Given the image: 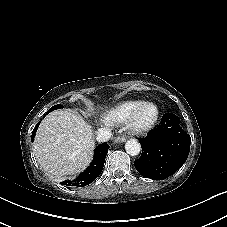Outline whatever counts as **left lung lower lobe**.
I'll return each mask as SVG.
<instances>
[{
  "label": "left lung lower lobe",
  "mask_w": 227,
  "mask_h": 227,
  "mask_svg": "<svg viewBox=\"0 0 227 227\" xmlns=\"http://www.w3.org/2000/svg\"><path fill=\"white\" fill-rule=\"evenodd\" d=\"M140 143L142 155L134 162L135 168L146 178L163 180L185 163L191 138L180 127L178 116L167 113Z\"/></svg>",
  "instance_id": "1"
}]
</instances>
